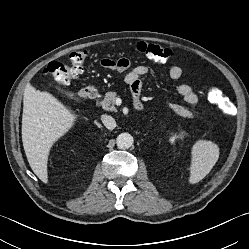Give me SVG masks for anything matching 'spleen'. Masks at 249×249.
I'll list each match as a JSON object with an SVG mask.
<instances>
[{
    "mask_svg": "<svg viewBox=\"0 0 249 249\" xmlns=\"http://www.w3.org/2000/svg\"><path fill=\"white\" fill-rule=\"evenodd\" d=\"M219 158V147L209 140H198L191 150L189 183L201 181L213 168Z\"/></svg>",
    "mask_w": 249,
    "mask_h": 249,
    "instance_id": "obj_1",
    "label": "spleen"
}]
</instances>
